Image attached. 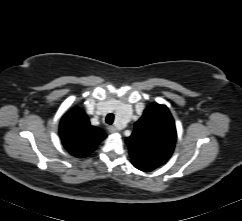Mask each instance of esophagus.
Wrapping results in <instances>:
<instances>
[{
  "label": "esophagus",
  "instance_id": "34e87169",
  "mask_svg": "<svg viewBox=\"0 0 242 221\" xmlns=\"http://www.w3.org/2000/svg\"><path fill=\"white\" fill-rule=\"evenodd\" d=\"M108 131L110 133H116V132H118V129L115 126H109Z\"/></svg>",
  "mask_w": 242,
  "mask_h": 221
}]
</instances>
